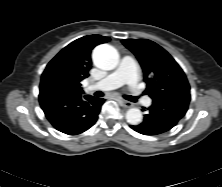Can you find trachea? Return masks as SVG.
I'll return each instance as SVG.
<instances>
[{
	"mask_svg": "<svg viewBox=\"0 0 222 187\" xmlns=\"http://www.w3.org/2000/svg\"><path fill=\"white\" fill-rule=\"evenodd\" d=\"M96 96L101 97V96H103V93L100 92V91H98V92H96ZM124 98L127 99V100H129V101H132V102H137V98L134 97V96L125 95Z\"/></svg>",
	"mask_w": 222,
	"mask_h": 187,
	"instance_id": "trachea-1",
	"label": "trachea"
}]
</instances>
